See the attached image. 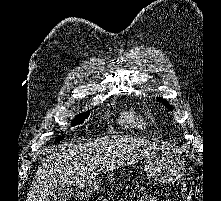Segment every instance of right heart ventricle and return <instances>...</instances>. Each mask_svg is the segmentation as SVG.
I'll return each mask as SVG.
<instances>
[{
	"mask_svg": "<svg viewBox=\"0 0 221 201\" xmlns=\"http://www.w3.org/2000/svg\"><path fill=\"white\" fill-rule=\"evenodd\" d=\"M122 122L138 129H146L152 124L149 117L134 111L125 113Z\"/></svg>",
	"mask_w": 221,
	"mask_h": 201,
	"instance_id": "1",
	"label": "right heart ventricle"
}]
</instances>
